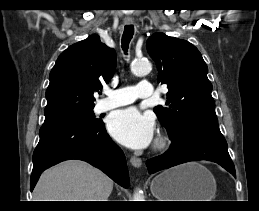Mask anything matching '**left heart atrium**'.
Here are the masks:
<instances>
[{"instance_id": "39dd6f15", "label": "left heart atrium", "mask_w": 259, "mask_h": 211, "mask_svg": "<svg viewBox=\"0 0 259 211\" xmlns=\"http://www.w3.org/2000/svg\"><path fill=\"white\" fill-rule=\"evenodd\" d=\"M108 130L119 143L132 149H142L152 142L155 124L151 116L130 107L111 114Z\"/></svg>"}]
</instances>
